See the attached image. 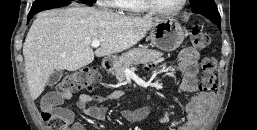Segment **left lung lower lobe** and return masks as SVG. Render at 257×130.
I'll return each mask as SVG.
<instances>
[{
    "label": "left lung lower lobe",
    "instance_id": "1",
    "mask_svg": "<svg viewBox=\"0 0 257 130\" xmlns=\"http://www.w3.org/2000/svg\"><path fill=\"white\" fill-rule=\"evenodd\" d=\"M216 23L218 25V28L220 29L221 28V19H217Z\"/></svg>",
    "mask_w": 257,
    "mask_h": 130
}]
</instances>
